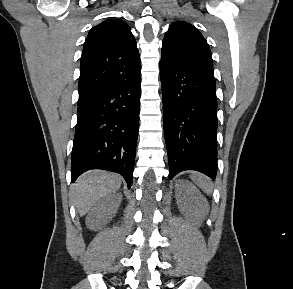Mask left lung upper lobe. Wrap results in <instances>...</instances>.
I'll return each mask as SVG.
<instances>
[{
  "label": "left lung upper lobe",
  "instance_id": "left-lung-upper-lobe-1",
  "mask_svg": "<svg viewBox=\"0 0 293 289\" xmlns=\"http://www.w3.org/2000/svg\"><path fill=\"white\" fill-rule=\"evenodd\" d=\"M162 61L195 71L213 72V60L205 38L193 25L178 21L163 39Z\"/></svg>",
  "mask_w": 293,
  "mask_h": 289
}]
</instances>
